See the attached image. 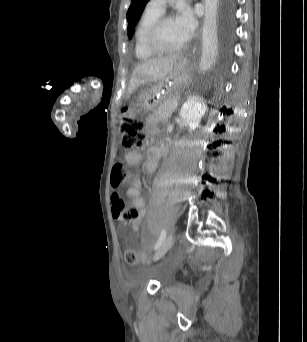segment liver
<instances>
[{"label": "liver", "mask_w": 307, "mask_h": 342, "mask_svg": "<svg viewBox=\"0 0 307 342\" xmlns=\"http://www.w3.org/2000/svg\"><path fill=\"white\" fill-rule=\"evenodd\" d=\"M177 58L178 54L168 56V58H152V60H145L136 66L131 74L127 96H131L142 84H152V82H158L161 78H165L173 70Z\"/></svg>", "instance_id": "liver-1"}]
</instances>
